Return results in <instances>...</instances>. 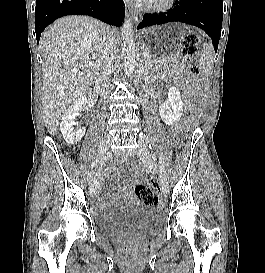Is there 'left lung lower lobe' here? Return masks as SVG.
Returning a JSON list of instances; mask_svg holds the SVG:
<instances>
[{
	"label": "left lung lower lobe",
	"mask_w": 265,
	"mask_h": 273,
	"mask_svg": "<svg viewBox=\"0 0 265 273\" xmlns=\"http://www.w3.org/2000/svg\"><path fill=\"white\" fill-rule=\"evenodd\" d=\"M223 19L222 0H176L175 7L164 14H145L138 29L168 22H183L204 30L217 51Z\"/></svg>",
	"instance_id": "1"
}]
</instances>
